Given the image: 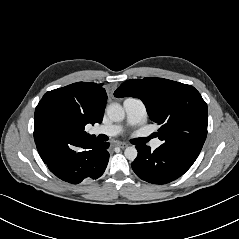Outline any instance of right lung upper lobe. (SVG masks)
<instances>
[{"instance_id": "cb5924a9", "label": "right lung upper lobe", "mask_w": 239, "mask_h": 239, "mask_svg": "<svg viewBox=\"0 0 239 239\" xmlns=\"http://www.w3.org/2000/svg\"><path fill=\"white\" fill-rule=\"evenodd\" d=\"M103 84L77 82L47 92L35 109L34 140L42 158L72 139H95L86 124L101 123L107 101Z\"/></svg>"}]
</instances>
